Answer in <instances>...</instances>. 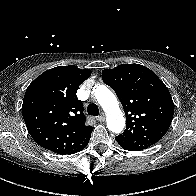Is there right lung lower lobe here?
<instances>
[{
    "mask_svg": "<svg viewBox=\"0 0 196 196\" xmlns=\"http://www.w3.org/2000/svg\"><path fill=\"white\" fill-rule=\"evenodd\" d=\"M88 144V143H87ZM87 144L85 145V146H83L82 148H80L79 150H77L76 152H79V151H81V150H83L86 146H87ZM76 152H74V153H76ZM73 154V153H72Z\"/></svg>",
    "mask_w": 196,
    "mask_h": 196,
    "instance_id": "1",
    "label": "right lung lower lobe"
}]
</instances>
